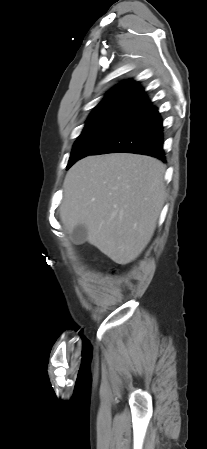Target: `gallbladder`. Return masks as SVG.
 <instances>
[{
    "label": "gallbladder",
    "mask_w": 207,
    "mask_h": 449,
    "mask_svg": "<svg viewBox=\"0 0 207 449\" xmlns=\"http://www.w3.org/2000/svg\"><path fill=\"white\" fill-rule=\"evenodd\" d=\"M71 239L76 244H83L87 240V229L84 225H77L71 232Z\"/></svg>",
    "instance_id": "gallbladder-1"
}]
</instances>
